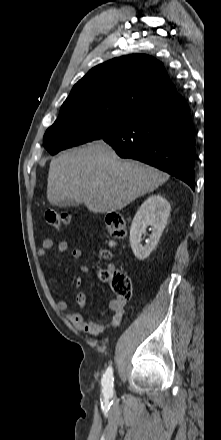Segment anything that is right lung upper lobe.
Wrapping results in <instances>:
<instances>
[{
  "instance_id": "right-lung-upper-lobe-1",
  "label": "right lung upper lobe",
  "mask_w": 221,
  "mask_h": 440,
  "mask_svg": "<svg viewBox=\"0 0 221 440\" xmlns=\"http://www.w3.org/2000/svg\"><path fill=\"white\" fill-rule=\"evenodd\" d=\"M175 91L160 61L143 54L127 55L92 68L74 85L63 105L108 101L136 110Z\"/></svg>"
}]
</instances>
